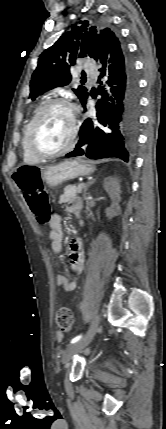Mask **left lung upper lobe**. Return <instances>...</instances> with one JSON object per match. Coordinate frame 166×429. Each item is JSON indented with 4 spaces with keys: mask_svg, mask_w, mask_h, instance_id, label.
Here are the masks:
<instances>
[{
    "mask_svg": "<svg viewBox=\"0 0 166 429\" xmlns=\"http://www.w3.org/2000/svg\"><path fill=\"white\" fill-rule=\"evenodd\" d=\"M118 35L110 28H101L90 21L73 24L54 45L46 49L38 59V66L30 81L29 98L35 99L45 91L67 85L71 80L70 66L78 58H96L98 43L113 45ZM81 103L88 97L85 87L73 89Z\"/></svg>",
    "mask_w": 166,
    "mask_h": 429,
    "instance_id": "1",
    "label": "left lung upper lobe"
}]
</instances>
